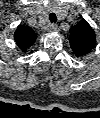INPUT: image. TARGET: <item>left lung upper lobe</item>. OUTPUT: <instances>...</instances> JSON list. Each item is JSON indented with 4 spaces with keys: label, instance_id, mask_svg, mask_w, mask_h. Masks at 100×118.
<instances>
[{
    "label": "left lung upper lobe",
    "instance_id": "1",
    "mask_svg": "<svg viewBox=\"0 0 100 118\" xmlns=\"http://www.w3.org/2000/svg\"><path fill=\"white\" fill-rule=\"evenodd\" d=\"M70 46L77 57L88 54L96 44L95 33L86 20L70 29Z\"/></svg>",
    "mask_w": 100,
    "mask_h": 118
}]
</instances>
